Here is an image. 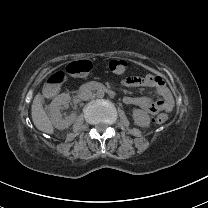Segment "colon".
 <instances>
[{
  "instance_id": "obj_1",
  "label": "colon",
  "mask_w": 208,
  "mask_h": 208,
  "mask_svg": "<svg viewBox=\"0 0 208 208\" xmlns=\"http://www.w3.org/2000/svg\"><path fill=\"white\" fill-rule=\"evenodd\" d=\"M109 69L114 74H123L127 69V63L123 59H114L109 64ZM66 71L69 75H83L84 73H89L91 71V64L89 62H81L76 64L74 67L69 64L66 67ZM168 120V116L164 113L159 114L154 117V124L161 126L164 125Z\"/></svg>"
}]
</instances>
